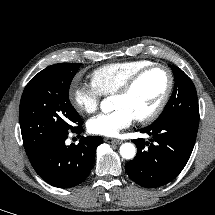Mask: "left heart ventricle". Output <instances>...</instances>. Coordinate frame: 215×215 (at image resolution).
<instances>
[{
	"mask_svg": "<svg viewBox=\"0 0 215 215\" xmlns=\"http://www.w3.org/2000/svg\"><path fill=\"white\" fill-rule=\"evenodd\" d=\"M168 85V76L162 69L145 75L125 96H115L114 107L128 109L135 118L147 115L160 102Z\"/></svg>",
	"mask_w": 215,
	"mask_h": 215,
	"instance_id": "left-heart-ventricle-1",
	"label": "left heart ventricle"
}]
</instances>
